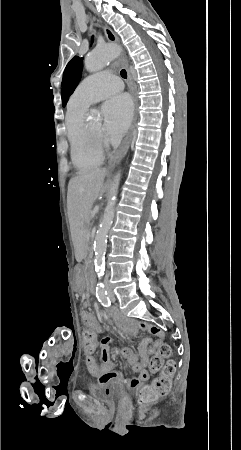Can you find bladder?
Wrapping results in <instances>:
<instances>
[{
	"label": "bladder",
	"mask_w": 241,
	"mask_h": 450,
	"mask_svg": "<svg viewBox=\"0 0 241 450\" xmlns=\"http://www.w3.org/2000/svg\"><path fill=\"white\" fill-rule=\"evenodd\" d=\"M125 395V387L116 382H105L92 391L95 399L108 403L121 401Z\"/></svg>",
	"instance_id": "bladder-1"
}]
</instances>
